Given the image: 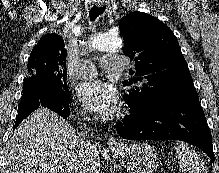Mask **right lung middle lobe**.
<instances>
[{"instance_id": "right-lung-middle-lobe-1", "label": "right lung middle lobe", "mask_w": 219, "mask_h": 173, "mask_svg": "<svg viewBox=\"0 0 219 173\" xmlns=\"http://www.w3.org/2000/svg\"><path fill=\"white\" fill-rule=\"evenodd\" d=\"M45 86L58 91L62 98L70 99L66 70L58 64L29 61L24 78L23 93Z\"/></svg>"}]
</instances>
